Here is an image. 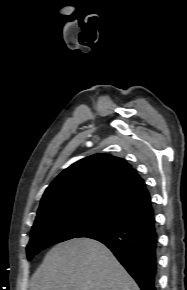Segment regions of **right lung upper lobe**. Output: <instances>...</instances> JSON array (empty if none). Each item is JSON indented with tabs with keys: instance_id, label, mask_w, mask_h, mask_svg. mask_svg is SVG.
<instances>
[{
	"instance_id": "1",
	"label": "right lung upper lobe",
	"mask_w": 187,
	"mask_h": 290,
	"mask_svg": "<svg viewBox=\"0 0 187 290\" xmlns=\"http://www.w3.org/2000/svg\"><path fill=\"white\" fill-rule=\"evenodd\" d=\"M111 208L127 220L154 213L144 180L123 159L95 154L60 173L48 186L37 218L82 207Z\"/></svg>"
}]
</instances>
